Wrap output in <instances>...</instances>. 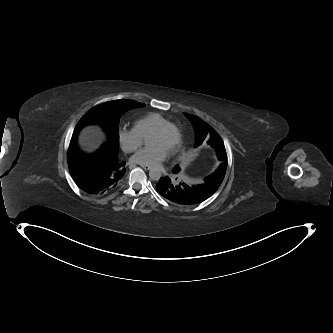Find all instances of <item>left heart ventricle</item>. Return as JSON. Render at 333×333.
<instances>
[{
    "label": "left heart ventricle",
    "instance_id": "obj_1",
    "mask_svg": "<svg viewBox=\"0 0 333 333\" xmlns=\"http://www.w3.org/2000/svg\"><path fill=\"white\" fill-rule=\"evenodd\" d=\"M173 140H174L173 132H168L165 134H151L147 138V144L155 145V146H158V147L168 151Z\"/></svg>",
    "mask_w": 333,
    "mask_h": 333
}]
</instances>
